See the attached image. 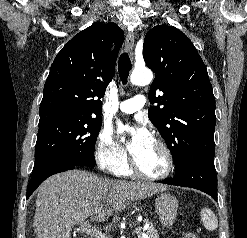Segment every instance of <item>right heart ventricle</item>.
Wrapping results in <instances>:
<instances>
[{
    "label": "right heart ventricle",
    "instance_id": "obj_1",
    "mask_svg": "<svg viewBox=\"0 0 247 238\" xmlns=\"http://www.w3.org/2000/svg\"><path fill=\"white\" fill-rule=\"evenodd\" d=\"M118 175L121 176H129L131 175V170L129 168V166L127 164H125L124 166H122L121 168H119L117 171H115Z\"/></svg>",
    "mask_w": 247,
    "mask_h": 238
}]
</instances>
